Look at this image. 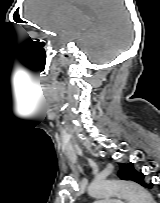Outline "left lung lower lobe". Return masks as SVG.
I'll return each instance as SVG.
<instances>
[{
    "mask_svg": "<svg viewBox=\"0 0 160 203\" xmlns=\"http://www.w3.org/2000/svg\"><path fill=\"white\" fill-rule=\"evenodd\" d=\"M145 187L148 188V189H151V188L154 187V184L153 183H148V184L145 185Z\"/></svg>",
    "mask_w": 160,
    "mask_h": 203,
    "instance_id": "0a47b994",
    "label": "left lung lower lobe"
}]
</instances>
